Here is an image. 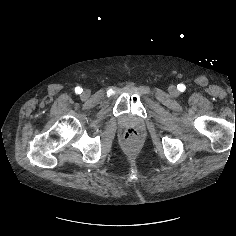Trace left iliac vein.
<instances>
[{"label":"left iliac vein","instance_id":"1","mask_svg":"<svg viewBox=\"0 0 236 236\" xmlns=\"http://www.w3.org/2000/svg\"><path fill=\"white\" fill-rule=\"evenodd\" d=\"M169 93H170L171 95L176 96V95H178L179 92H178L176 86L172 85V86L169 87Z\"/></svg>","mask_w":236,"mask_h":236}]
</instances>
